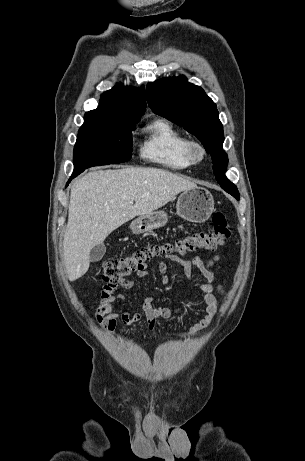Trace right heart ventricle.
<instances>
[{
    "label": "right heart ventricle",
    "instance_id": "right-heart-ventricle-1",
    "mask_svg": "<svg viewBox=\"0 0 305 461\" xmlns=\"http://www.w3.org/2000/svg\"><path fill=\"white\" fill-rule=\"evenodd\" d=\"M142 157L171 170H183L192 162L186 152L189 138L170 122L157 119L145 128Z\"/></svg>",
    "mask_w": 305,
    "mask_h": 461
}]
</instances>
